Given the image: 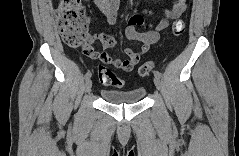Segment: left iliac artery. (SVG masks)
<instances>
[{
    "label": "left iliac artery",
    "instance_id": "left-iliac-artery-1",
    "mask_svg": "<svg viewBox=\"0 0 239 156\" xmlns=\"http://www.w3.org/2000/svg\"><path fill=\"white\" fill-rule=\"evenodd\" d=\"M153 73H154V76L161 78L162 74L159 71L155 70Z\"/></svg>",
    "mask_w": 239,
    "mask_h": 156
}]
</instances>
